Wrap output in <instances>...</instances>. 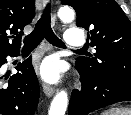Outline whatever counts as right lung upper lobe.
Masks as SVG:
<instances>
[{
  "mask_svg": "<svg viewBox=\"0 0 131 115\" xmlns=\"http://www.w3.org/2000/svg\"><path fill=\"white\" fill-rule=\"evenodd\" d=\"M34 17V0H0V56L19 52L23 28Z\"/></svg>",
  "mask_w": 131,
  "mask_h": 115,
  "instance_id": "1",
  "label": "right lung upper lobe"
}]
</instances>
